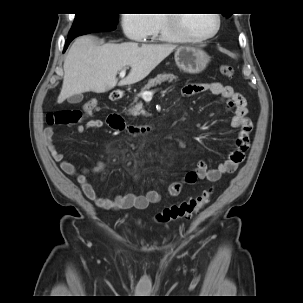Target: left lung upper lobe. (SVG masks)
I'll list each match as a JSON object with an SVG mask.
<instances>
[{"mask_svg":"<svg viewBox=\"0 0 303 303\" xmlns=\"http://www.w3.org/2000/svg\"><path fill=\"white\" fill-rule=\"evenodd\" d=\"M224 16H226V17L228 18V17H230V16H231V14H229V15H225V14H224Z\"/></svg>","mask_w":303,"mask_h":303,"instance_id":"5c2ea615","label":"left lung upper lobe"}]
</instances>
